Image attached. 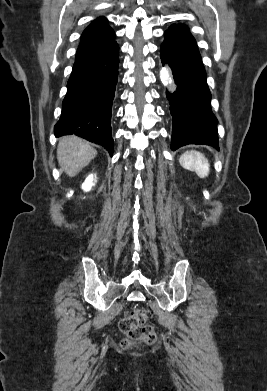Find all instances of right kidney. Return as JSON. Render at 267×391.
<instances>
[{
	"mask_svg": "<svg viewBox=\"0 0 267 391\" xmlns=\"http://www.w3.org/2000/svg\"><path fill=\"white\" fill-rule=\"evenodd\" d=\"M96 175H94V174H90L86 179H85V181H84V183L82 184V189L84 190V191H90L91 190V188L93 187V186H95V182H96Z\"/></svg>",
	"mask_w": 267,
	"mask_h": 391,
	"instance_id": "ca27d5eb",
	"label": "right kidney"
}]
</instances>
